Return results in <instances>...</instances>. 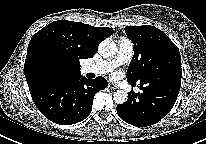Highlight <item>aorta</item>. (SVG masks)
Listing matches in <instances>:
<instances>
[{"label": "aorta", "mask_w": 206, "mask_h": 144, "mask_svg": "<svg viewBox=\"0 0 206 144\" xmlns=\"http://www.w3.org/2000/svg\"><path fill=\"white\" fill-rule=\"evenodd\" d=\"M98 50L105 57H113L117 51L116 43L111 39H105L99 44ZM113 99L117 104H124L128 99V94L124 90H116L113 93Z\"/></svg>", "instance_id": "1"}]
</instances>
